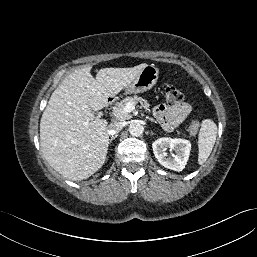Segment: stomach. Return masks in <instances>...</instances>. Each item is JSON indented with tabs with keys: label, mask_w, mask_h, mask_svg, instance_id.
Returning a JSON list of instances; mask_svg holds the SVG:
<instances>
[{
	"label": "stomach",
	"mask_w": 257,
	"mask_h": 257,
	"mask_svg": "<svg viewBox=\"0 0 257 257\" xmlns=\"http://www.w3.org/2000/svg\"><path fill=\"white\" fill-rule=\"evenodd\" d=\"M159 78V69L154 64L147 65L141 73L126 86V93H141L150 90Z\"/></svg>",
	"instance_id": "1"
}]
</instances>
